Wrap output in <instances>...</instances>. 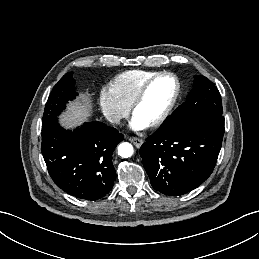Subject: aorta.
<instances>
[{
	"mask_svg": "<svg viewBox=\"0 0 259 259\" xmlns=\"http://www.w3.org/2000/svg\"><path fill=\"white\" fill-rule=\"evenodd\" d=\"M133 153H134L133 146L128 142L121 143L118 146V155L121 156L122 158L131 157Z\"/></svg>",
	"mask_w": 259,
	"mask_h": 259,
	"instance_id": "obj_1",
	"label": "aorta"
}]
</instances>
